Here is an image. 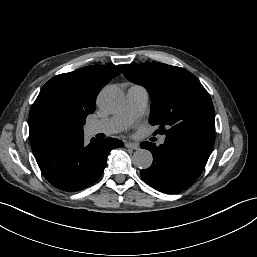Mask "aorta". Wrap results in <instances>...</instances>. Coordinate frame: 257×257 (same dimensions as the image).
<instances>
[{
    "label": "aorta",
    "mask_w": 257,
    "mask_h": 257,
    "mask_svg": "<svg viewBox=\"0 0 257 257\" xmlns=\"http://www.w3.org/2000/svg\"><path fill=\"white\" fill-rule=\"evenodd\" d=\"M100 107L107 112H115L120 109L124 103V95L120 89L115 86L103 88L98 96ZM133 163L141 169L149 168L153 163L152 153L146 149H139L133 154Z\"/></svg>",
    "instance_id": "obj_1"
}]
</instances>
